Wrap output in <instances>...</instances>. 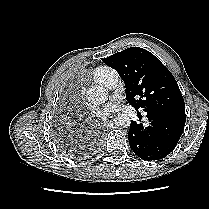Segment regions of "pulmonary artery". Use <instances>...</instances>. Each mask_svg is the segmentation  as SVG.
<instances>
[{"instance_id":"e3ab8cb5","label":"pulmonary artery","mask_w":209,"mask_h":209,"mask_svg":"<svg viewBox=\"0 0 209 209\" xmlns=\"http://www.w3.org/2000/svg\"><path fill=\"white\" fill-rule=\"evenodd\" d=\"M119 77L115 70L109 69L103 78L98 82L107 88H115L118 84Z\"/></svg>"}]
</instances>
